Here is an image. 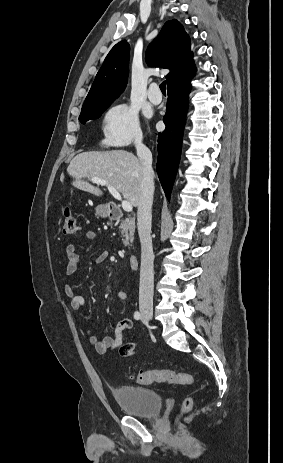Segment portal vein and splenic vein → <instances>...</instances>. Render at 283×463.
Masks as SVG:
<instances>
[{
  "label": "portal vein and splenic vein",
  "mask_w": 283,
  "mask_h": 463,
  "mask_svg": "<svg viewBox=\"0 0 283 463\" xmlns=\"http://www.w3.org/2000/svg\"><path fill=\"white\" fill-rule=\"evenodd\" d=\"M91 181L93 183L106 186L108 188L109 192L112 194V196L114 198H116L117 200L121 201L122 208H123L124 211H126V212H131L132 211L133 207H132L131 203L128 202L127 200H122V197H121L119 191L117 189H115L113 186H111L106 180L93 177V178H91Z\"/></svg>",
  "instance_id": "obj_1"
}]
</instances>
